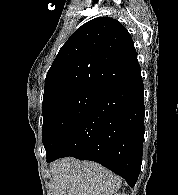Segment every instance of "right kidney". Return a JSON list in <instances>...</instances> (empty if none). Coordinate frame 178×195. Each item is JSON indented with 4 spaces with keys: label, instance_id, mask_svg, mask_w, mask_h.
<instances>
[{
    "label": "right kidney",
    "instance_id": "ca27d5eb",
    "mask_svg": "<svg viewBox=\"0 0 178 195\" xmlns=\"http://www.w3.org/2000/svg\"><path fill=\"white\" fill-rule=\"evenodd\" d=\"M115 195H126V194H124V193H122V194L121 193H116Z\"/></svg>",
    "mask_w": 178,
    "mask_h": 195
}]
</instances>
